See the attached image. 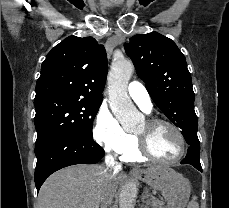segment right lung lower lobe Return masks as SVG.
Returning <instances> with one entry per match:
<instances>
[{"label":"right lung lower lobe","instance_id":"98d812e1","mask_svg":"<svg viewBox=\"0 0 229 208\" xmlns=\"http://www.w3.org/2000/svg\"><path fill=\"white\" fill-rule=\"evenodd\" d=\"M35 154V185L38 192L53 172L73 164L97 163L104 156V150L93 138L66 131L57 133L35 146Z\"/></svg>","mask_w":229,"mask_h":208}]
</instances>
